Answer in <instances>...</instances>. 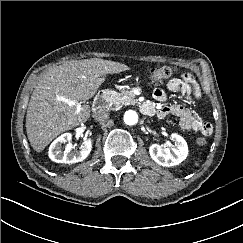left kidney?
I'll list each match as a JSON object with an SVG mask.
<instances>
[{"label":"left kidney","instance_id":"obj_1","mask_svg":"<svg viewBox=\"0 0 243 243\" xmlns=\"http://www.w3.org/2000/svg\"><path fill=\"white\" fill-rule=\"evenodd\" d=\"M171 139L175 141L176 147L162 148L158 144L149 147L151 158L159 165L171 167L180 164L188 156V146L185 139L177 133L171 134Z\"/></svg>","mask_w":243,"mask_h":243}]
</instances>
